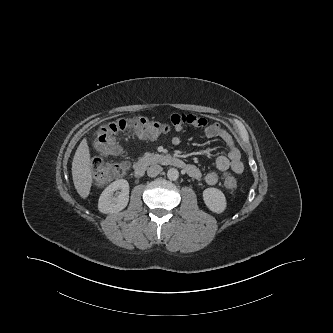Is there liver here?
<instances>
[{
	"mask_svg": "<svg viewBox=\"0 0 333 333\" xmlns=\"http://www.w3.org/2000/svg\"><path fill=\"white\" fill-rule=\"evenodd\" d=\"M72 178L78 194L87 198L92 186V161L86 138L81 141L73 157Z\"/></svg>",
	"mask_w": 333,
	"mask_h": 333,
	"instance_id": "obj_1",
	"label": "liver"
}]
</instances>
